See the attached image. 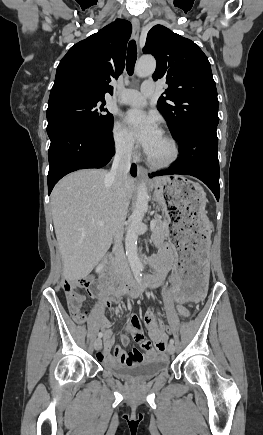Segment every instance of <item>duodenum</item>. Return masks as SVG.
Segmentation results:
<instances>
[{"label": "duodenum", "instance_id": "duodenum-1", "mask_svg": "<svg viewBox=\"0 0 263 435\" xmlns=\"http://www.w3.org/2000/svg\"><path fill=\"white\" fill-rule=\"evenodd\" d=\"M106 279L108 282V291L113 295L129 294L131 296H137L145 288V284L139 282L137 279L119 276L115 270L112 255L108 257Z\"/></svg>", "mask_w": 263, "mask_h": 435}]
</instances>
